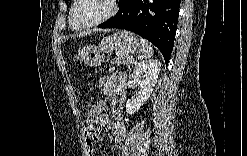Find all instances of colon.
<instances>
[{"label": "colon", "instance_id": "5ec220e1", "mask_svg": "<svg viewBox=\"0 0 247 156\" xmlns=\"http://www.w3.org/2000/svg\"><path fill=\"white\" fill-rule=\"evenodd\" d=\"M102 106H105L104 98H97V101H94L93 107H90L89 110L86 111V120L85 125L87 126V130H98V121L102 118Z\"/></svg>", "mask_w": 247, "mask_h": 156}]
</instances>
